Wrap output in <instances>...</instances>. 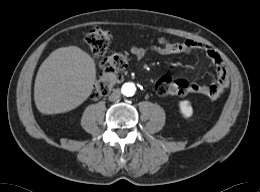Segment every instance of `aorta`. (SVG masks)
Instances as JSON below:
<instances>
[{"label":"aorta","instance_id":"aorta-1","mask_svg":"<svg viewBox=\"0 0 260 192\" xmlns=\"http://www.w3.org/2000/svg\"><path fill=\"white\" fill-rule=\"evenodd\" d=\"M121 91L125 96H133L135 94L136 87L133 83L128 82L123 84Z\"/></svg>","mask_w":260,"mask_h":192}]
</instances>
